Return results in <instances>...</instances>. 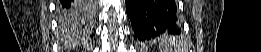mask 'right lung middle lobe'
Wrapping results in <instances>:
<instances>
[{
	"label": "right lung middle lobe",
	"instance_id": "right-lung-middle-lobe-1",
	"mask_svg": "<svg viewBox=\"0 0 261 52\" xmlns=\"http://www.w3.org/2000/svg\"><path fill=\"white\" fill-rule=\"evenodd\" d=\"M90 2H92V1H89V3ZM85 3L86 2H84V1L80 2V5H81L82 9L80 10V12L77 15H75L73 18H64L63 21L64 22H70V21L71 22H74V21L75 22H80L82 20V16H81L82 12L85 11V10H89L90 9L89 7L86 6Z\"/></svg>",
	"mask_w": 261,
	"mask_h": 52
}]
</instances>
